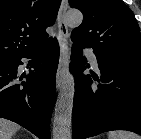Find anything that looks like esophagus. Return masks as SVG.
Returning <instances> with one entry per match:
<instances>
[{
	"instance_id": "obj_1",
	"label": "esophagus",
	"mask_w": 141,
	"mask_h": 139,
	"mask_svg": "<svg viewBox=\"0 0 141 139\" xmlns=\"http://www.w3.org/2000/svg\"><path fill=\"white\" fill-rule=\"evenodd\" d=\"M68 8V0H62L58 13V33L60 38V59L56 73V89L60 90L65 77L68 74L69 52L67 46V39L69 36L68 27L65 22V13Z\"/></svg>"
}]
</instances>
